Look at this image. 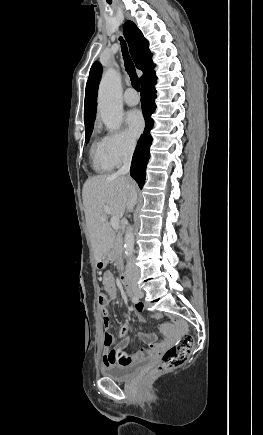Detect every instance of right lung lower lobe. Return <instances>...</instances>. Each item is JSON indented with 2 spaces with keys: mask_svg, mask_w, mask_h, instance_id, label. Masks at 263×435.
<instances>
[{
  "mask_svg": "<svg viewBox=\"0 0 263 435\" xmlns=\"http://www.w3.org/2000/svg\"><path fill=\"white\" fill-rule=\"evenodd\" d=\"M157 77L154 74L146 78L142 83L141 102L142 111L145 119V129L141 135L136 150L134 152L130 174L136 180L139 187L142 188L145 182L146 166L150 157L149 148L152 143V137L150 130L153 127L154 121L151 118V114L154 113L156 105V84Z\"/></svg>",
  "mask_w": 263,
  "mask_h": 435,
  "instance_id": "98d812e1",
  "label": "right lung lower lobe"
}]
</instances>
